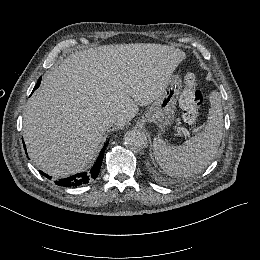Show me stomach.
I'll list each match as a JSON object with an SVG mask.
<instances>
[{"label":"stomach","instance_id":"stomach-1","mask_svg":"<svg viewBox=\"0 0 260 260\" xmlns=\"http://www.w3.org/2000/svg\"><path fill=\"white\" fill-rule=\"evenodd\" d=\"M181 88V79L178 76L171 77L162 95L146 109L140 121L156 125L158 135L168 132L176 118L177 100Z\"/></svg>","mask_w":260,"mask_h":260}]
</instances>
